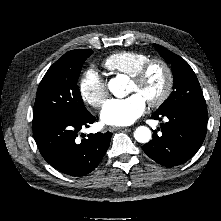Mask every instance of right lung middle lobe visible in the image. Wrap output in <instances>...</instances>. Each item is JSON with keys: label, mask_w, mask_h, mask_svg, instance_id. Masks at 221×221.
Listing matches in <instances>:
<instances>
[{"label": "right lung middle lobe", "mask_w": 221, "mask_h": 221, "mask_svg": "<svg viewBox=\"0 0 221 221\" xmlns=\"http://www.w3.org/2000/svg\"><path fill=\"white\" fill-rule=\"evenodd\" d=\"M89 49L69 51L56 61L41 80L33 108V124L87 112L77 80Z\"/></svg>", "instance_id": "dd1d6c3e"}]
</instances>
